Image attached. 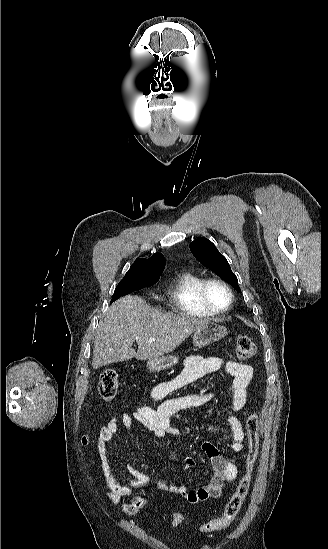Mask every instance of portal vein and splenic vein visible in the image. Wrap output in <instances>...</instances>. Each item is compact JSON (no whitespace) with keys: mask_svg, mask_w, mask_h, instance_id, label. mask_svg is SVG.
<instances>
[{"mask_svg":"<svg viewBox=\"0 0 328 549\" xmlns=\"http://www.w3.org/2000/svg\"><path fill=\"white\" fill-rule=\"evenodd\" d=\"M148 343H153V341H148Z\"/></svg>","mask_w":328,"mask_h":549,"instance_id":"portal-vein-and-splenic-vein-1","label":"portal vein and splenic vein"}]
</instances>
